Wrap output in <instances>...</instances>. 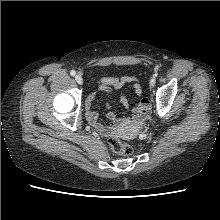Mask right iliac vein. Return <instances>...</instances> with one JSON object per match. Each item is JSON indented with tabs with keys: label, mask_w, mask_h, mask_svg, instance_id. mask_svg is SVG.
<instances>
[{
	"label": "right iliac vein",
	"mask_w": 220,
	"mask_h": 220,
	"mask_svg": "<svg viewBox=\"0 0 220 220\" xmlns=\"http://www.w3.org/2000/svg\"><path fill=\"white\" fill-rule=\"evenodd\" d=\"M75 80L78 84H83V79L82 76L80 74L75 75Z\"/></svg>",
	"instance_id": "1"
}]
</instances>
